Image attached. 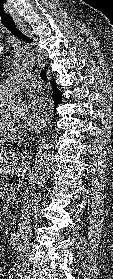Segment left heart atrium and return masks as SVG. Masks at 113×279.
Wrapping results in <instances>:
<instances>
[{"instance_id":"obj_1","label":"left heart atrium","mask_w":113,"mask_h":279,"mask_svg":"<svg viewBox=\"0 0 113 279\" xmlns=\"http://www.w3.org/2000/svg\"><path fill=\"white\" fill-rule=\"evenodd\" d=\"M51 116V104L46 97L34 96L26 106L23 125L29 130H40L46 126Z\"/></svg>"}]
</instances>
